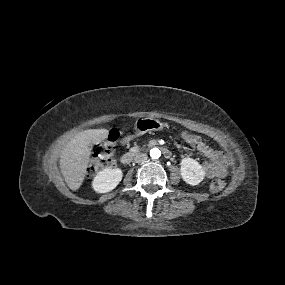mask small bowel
Listing matches in <instances>:
<instances>
[{
	"label": "small bowel",
	"instance_id": "c3829d8e",
	"mask_svg": "<svg viewBox=\"0 0 285 285\" xmlns=\"http://www.w3.org/2000/svg\"><path fill=\"white\" fill-rule=\"evenodd\" d=\"M198 151L208 160L204 166L208 177L215 178L227 175L228 165L225 157L219 151L209 147L205 143L201 149H198Z\"/></svg>",
	"mask_w": 285,
	"mask_h": 285
}]
</instances>
